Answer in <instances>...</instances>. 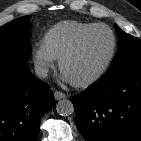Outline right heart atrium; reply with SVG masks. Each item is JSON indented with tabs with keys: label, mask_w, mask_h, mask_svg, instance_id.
<instances>
[{
	"label": "right heart atrium",
	"mask_w": 141,
	"mask_h": 141,
	"mask_svg": "<svg viewBox=\"0 0 141 141\" xmlns=\"http://www.w3.org/2000/svg\"><path fill=\"white\" fill-rule=\"evenodd\" d=\"M32 61L35 70L40 77H46L48 73L55 67V59L39 45L32 51Z\"/></svg>",
	"instance_id": "obj_1"
}]
</instances>
